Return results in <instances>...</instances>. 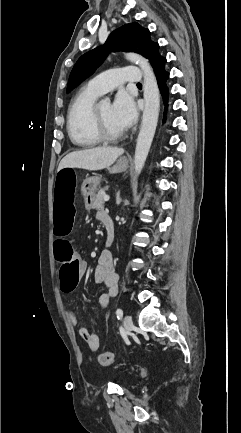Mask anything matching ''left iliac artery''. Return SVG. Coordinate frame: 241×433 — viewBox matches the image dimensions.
Here are the masks:
<instances>
[{"label":"left iliac artery","instance_id":"1","mask_svg":"<svg viewBox=\"0 0 241 433\" xmlns=\"http://www.w3.org/2000/svg\"><path fill=\"white\" fill-rule=\"evenodd\" d=\"M116 316H117V318H118L119 320L122 318V316H123V311H122V309L118 308V309L116 310Z\"/></svg>","mask_w":241,"mask_h":433}]
</instances>
